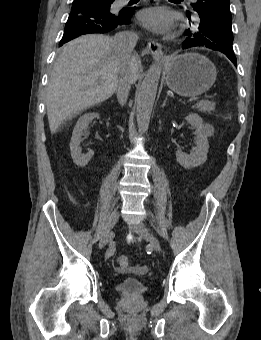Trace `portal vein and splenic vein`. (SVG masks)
<instances>
[{
  "label": "portal vein and splenic vein",
  "mask_w": 261,
  "mask_h": 340,
  "mask_svg": "<svg viewBox=\"0 0 261 340\" xmlns=\"http://www.w3.org/2000/svg\"><path fill=\"white\" fill-rule=\"evenodd\" d=\"M197 99H198L197 97H192V98L189 99V102L190 103L195 102V101H197Z\"/></svg>",
  "instance_id": "18ae733b"
}]
</instances>
